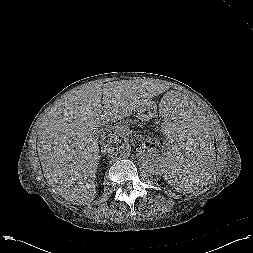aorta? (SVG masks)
Masks as SVG:
<instances>
[{
    "label": "aorta",
    "instance_id": "aorta-1",
    "mask_svg": "<svg viewBox=\"0 0 253 253\" xmlns=\"http://www.w3.org/2000/svg\"><path fill=\"white\" fill-rule=\"evenodd\" d=\"M131 153V147L129 146V144H122L120 147H119V154L122 156V157H128Z\"/></svg>",
    "mask_w": 253,
    "mask_h": 253
}]
</instances>
